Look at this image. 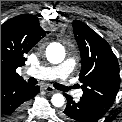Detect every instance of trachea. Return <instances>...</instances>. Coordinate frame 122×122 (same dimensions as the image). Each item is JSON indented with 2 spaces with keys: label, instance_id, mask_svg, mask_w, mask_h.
I'll return each mask as SVG.
<instances>
[{
  "label": "trachea",
  "instance_id": "1",
  "mask_svg": "<svg viewBox=\"0 0 122 122\" xmlns=\"http://www.w3.org/2000/svg\"><path fill=\"white\" fill-rule=\"evenodd\" d=\"M28 82L31 83V84H34V85L38 83L37 79H35V78H33V77H30V78L28 79ZM54 87H55L56 89L60 90V91H67V88H66V87H64L63 85L58 84V83H55V84H54Z\"/></svg>",
  "mask_w": 122,
  "mask_h": 122
}]
</instances>
